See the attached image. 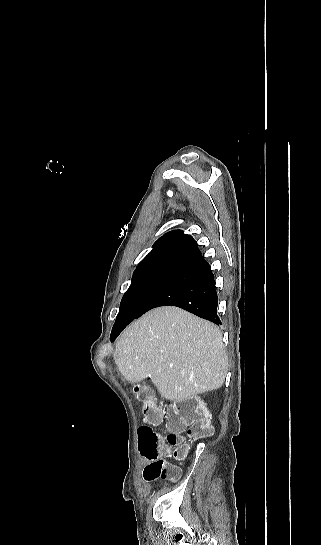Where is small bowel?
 I'll return each instance as SVG.
<instances>
[{
    "label": "small bowel",
    "instance_id": "1",
    "mask_svg": "<svg viewBox=\"0 0 321 545\" xmlns=\"http://www.w3.org/2000/svg\"><path fill=\"white\" fill-rule=\"evenodd\" d=\"M162 432H165V430H162ZM165 452H166V454H168L169 449L165 448ZM162 461H163L162 459L153 460L145 467V469L143 471V477H144V479L146 481L152 480V476L155 473L158 462H162ZM174 467L178 472V476H177V478H178L180 476V470L176 466H174Z\"/></svg>",
    "mask_w": 321,
    "mask_h": 545
}]
</instances>
